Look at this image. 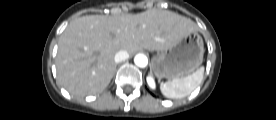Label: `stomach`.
<instances>
[{
  "label": "stomach",
  "instance_id": "stomach-1",
  "mask_svg": "<svg viewBox=\"0 0 276 120\" xmlns=\"http://www.w3.org/2000/svg\"><path fill=\"white\" fill-rule=\"evenodd\" d=\"M203 55V40L195 31L158 53L153 58L152 70L159 79L182 77L192 73L202 64Z\"/></svg>",
  "mask_w": 276,
  "mask_h": 120
}]
</instances>
